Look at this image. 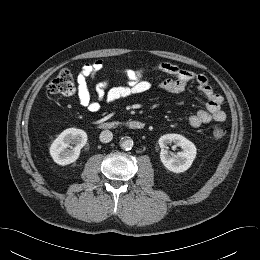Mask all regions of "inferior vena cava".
Masks as SVG:
<instances>
[{
  "instance_id": "1",
  "label": "inferior vena cava",
  "mask_w": 260,
  "mask_h": 260,
  "mask_svg": "<svg viewBox=\"0 0 260 260\" xmlns=\"http://www.w3.org/2000/svg\"><path fill=\"white\" fill-rule=\"evenodd\" d=\"M100 141L103 143H108L112 140L113 134L109 130H104L100 133Z\"/></svg>"
}]
</instances>
